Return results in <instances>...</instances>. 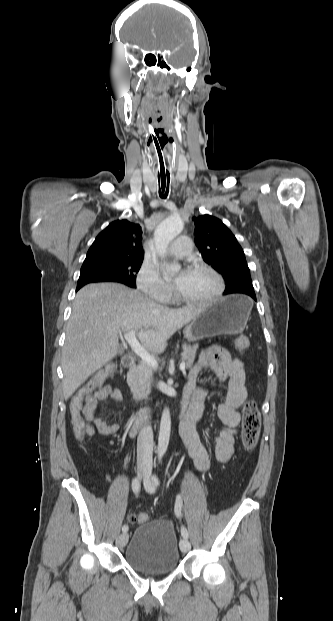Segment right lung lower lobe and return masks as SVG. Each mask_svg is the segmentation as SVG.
Returning <instances> with one entry per match:
<instances>
[{
    "mask_svg": "<svg viewBox=\"0 0 333 621\" xmlns=\"http://www.w3.org/2000/svg\"><path fill=\"white\" fill-rule=\"evenodd\" d=\"M82 286H84V285H77L76 291H78Z\"/></svg>",
    "mask_w": 333,
    "mask_h": 621,
    "instance_id": "1",
    "label": "right lung lower lobe"
}]
</instances>
